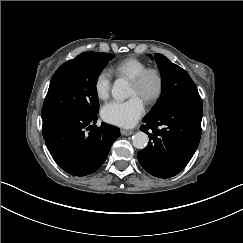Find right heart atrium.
<instances>
[{"mask_svg": "<svg viewBox=\"0 0 243 243\" xmlns=\"http://www.w3.org/2000/svg\"><path fill=\"white\" fill-rule=\"evenodd\" d=\"M112 73L108 68H102L95 75L93 90L98 100H105L111 92Z\"/></svg>", "mask_w": 243, "mask_h": 243, "instance_id": "d8ad5b80", "label": "right heart atrium"}]
</instances>
